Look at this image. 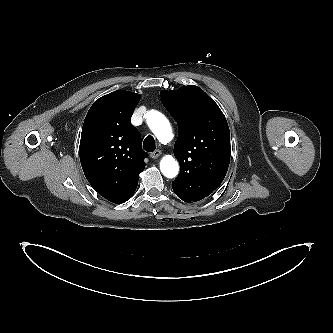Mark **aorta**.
I'll use <instances>...</instances> for the list:
<instances>
[{"mask_svg":"<svg viewBox=\"0 0 333 333\" xmlns=\"http://www.w3.org/2000/svg\"><path fill=\"white\" fill-rule=\"evenodd\" d=\"M147 123L151 131L161 143H168L172 139V129L168 119L160 112H151ZM160 170L167 178H173L178 174L179 166L172 156H165L160 162Z\"/></svg>","mask_w":333,"mask_h":333,"instance_id":"aorta-1","label":"aorta"}]
</instances>
